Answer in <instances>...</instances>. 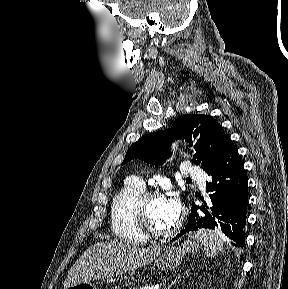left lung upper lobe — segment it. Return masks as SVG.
<instances>
[{"label":"left lung upper lobe","instance_id":"5c2ea615","mask_svg":"<svg viewBox=\"0 0 288 289\" xmlns=\"http://www.w3.org/2000/svg\"><path fill=\"white\" fill-rule=\"evenodd\" d=\"M175 136L194 145L196 154L193 163L205 171L218 158L229 139L210 116L183 115L173 123V128L144 135L131 145L123 164L131 159H141L150 164L162 165L169 157L170 145Z\"/></svg>","mask_w":288,"mask_h":289}]
</instances>
